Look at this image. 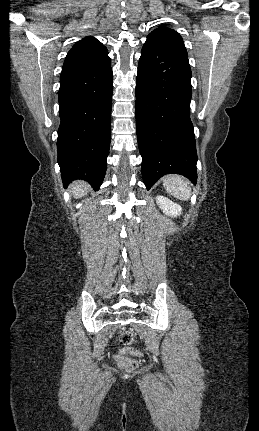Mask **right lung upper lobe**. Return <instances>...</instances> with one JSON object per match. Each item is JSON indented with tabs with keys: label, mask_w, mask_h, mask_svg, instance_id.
Wrapping results in <instances>:
<instances>
[{
	"label": "right lung upper lobe",
	"mask_w": 259,
	"mask_h": 431,
	"mask_svg": "<svg viewBox=\"0 0 259 431\" xmlns=\"http://www.w3.org/2000/svg\"><path fill=\"white\" fill-rule=\"evenodd\" d=\"M110 63L107 48L94 37H86L68 52L60 78L99 70Z\"/></svg>",
	"instance_id": "obj_1"
}]
</instances>
